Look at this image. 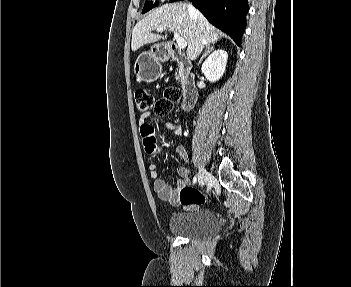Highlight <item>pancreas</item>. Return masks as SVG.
<instances>
[{"instance_id": "1", "label": "pancreas", "mask_w": 351, "mask_h": 287, "mask_svg": "<svg viewBox=\"0 0 351 287\" xmlns=\"http://www.w3.org/2000/svg\"><path fill=\"white\" fill-rule=\"evenodd\" d=\"M183 77H184V69L183 67H180L179 70H177L176 74H175V78L177 81H183Z\"/></svg>"}]
</instances>
